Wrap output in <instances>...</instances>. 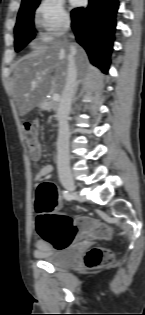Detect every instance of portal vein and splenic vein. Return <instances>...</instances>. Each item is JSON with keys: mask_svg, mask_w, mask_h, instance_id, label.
I'll return each mask as SVG.
<instances>
[{"mask_svg": "<svg viewBox=\"0 0 145 315\" xmlns=\"http://www.w3.org/2000/svg\"><path fill=\"white\" fill-rule=\"evenodd\" d=\"M60 98V95L58 93L53 94V100L58 101Z\"/></svg>", "mask_w": 145, "mask_h": 315, "instance_id": "portal-vein-and-splenic-vein-1", "label": "portal vein and splenic vein"}]
</instances>
